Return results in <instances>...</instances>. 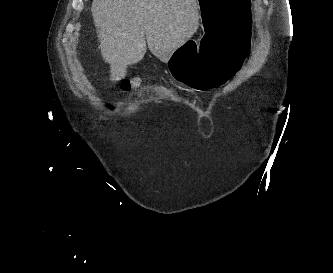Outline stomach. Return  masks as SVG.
<instances>
[{"mask_svg":"<svg viewBox=\"0 0 333 273\" xmlns=\"http://www.w3.org/2000/svg\"><path fill=\"white\" fill-rule=\"evenodd\" d=\"M205 31L197 42L188 39L170 53L168 68L180 84L206 91L234 81L250 51L254 23L252 0H196Z\"/></svg>","mask_w":333,"mask_h":273,"instance_id":"1","label":"stomach"}]
</instances>
